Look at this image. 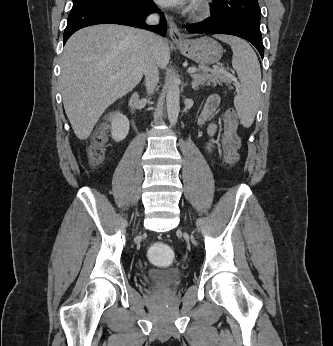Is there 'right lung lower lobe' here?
I'll list each match as a JSON object with an SVG mask.
<instances>
[{"mask_svg":"<svg viewBox=\"0 0 333 346\" xmlns=\"http://www.w3.org/2000/svg\"><path fill=\"white\" fill-rule=\"evenodd\" d=\"M158 12L152 0H131L128 3L117 1H94L73 7L63 35V43L77 30L96 24H120L147 29L162 36L166 33V20L160 25L149 26L144 22L147 15Z\"/></svg>","mask_w":333,"mask_h":346,"instance_id":"98d812e1","label":"right lung lower lobe"}]
</instances>
